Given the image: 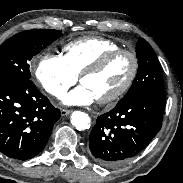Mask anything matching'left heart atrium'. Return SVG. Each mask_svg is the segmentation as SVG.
<instances>
[{
	"instance_id": "obj_1",
	"label": "left heart atrium",
	"mask_w": 183,
	"mask_h": 183,
	"mask_svg": "<svg viewBox=\"0 0 183 183\" xmlns=\"http://www.w3.org/2000/svg\"><path fill=\"white\" fill-rule=\"evenodd\" d=\"M96 100L93 93L83 84L67 94L63 102L67 105H88Z\"/></svg>"
}]
</instances>
